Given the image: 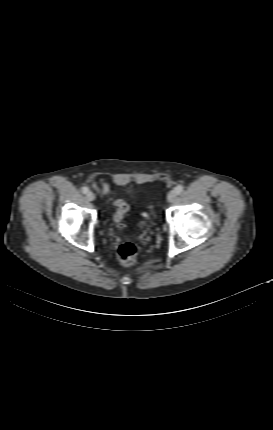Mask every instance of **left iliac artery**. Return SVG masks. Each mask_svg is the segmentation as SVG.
<instances>
[{"label":"left iliac artery","mask_w":273,"mask_h":430,"mask_svg":"<svg viewBox=\"0 0 273 430\" xmlns=\"http://www.w3.org/2000/svg\"><path fill=\"white\" fill-rule=\"evenodd\" d=\"M175 192H176V194H181L183 192V186L182 185H178L175 188Z\"/></svg>","instance_id":"44dca946"}]
</instances>
